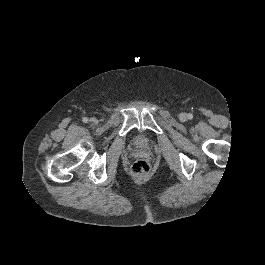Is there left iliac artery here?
Returning a JSON list of instances; mask_svg holds the SVG:
<instances>
[{
    "label": "left iliac artery",
    "instance_id": "obj_1",
    "mask_svg": "<svg viewBox=\"0 0 265 265\" xmlns=\"http://www.w3.org/2000/svg\"><path fill=\"white\" fill-rule=\"evenodd\" d=\"M187 116H188V119H192L193 118V115L191 113H189Z\"/></svg>",
    "mask_w": 265,
    "mask_h": 265
}]
</instances>
